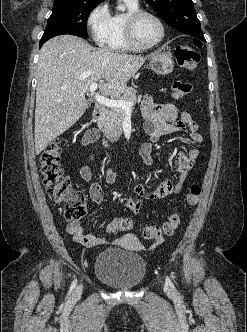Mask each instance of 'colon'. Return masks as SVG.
<instances>
[{"label": "colon", "mask_w": 247, "mask_h": 332, "mask_svg": "<svg viewBox=\"0 0 247 332\" xmlns=\"http://www.w3.org/2000/svg\"><path fill=\"white\" fill-rule=\"evenodd\" d=\"M201 44L197 41L193 45H181L175 50L177 63L188 71H194L199 64L198 49ZM192 90V84L175 81L171 85L173 99H181ZM62 145L60 140L50 142L40 156V172L46 192L57 203L63 204L65 219L72 223L82 219L87 213L85 194L74 188L72 180L65 175L60 164ZM201 197V187L198 184L190 186L187 202L191 205L198 203ZM180 224V214L172 211L167 220L160 225L146 227L143 236L148 240H160L163 236H172ZM132 228L129 218H117L107 225V232L111 234L128 231Z\"/></svg>", "instance_id": "obj_1"}]
</instances>
